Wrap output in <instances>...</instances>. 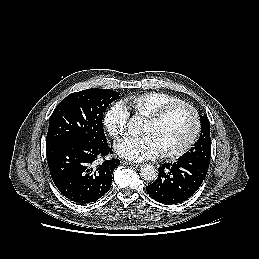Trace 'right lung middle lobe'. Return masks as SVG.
Here are the masks:
<instances>
[{
    "instance_id": "right-lung-middle-lobe-1",
    "label": "right lung middle lobe",
    "mask_w": 259,
    "mask_h": 259,
    "mask_svg": "<svg viewBox=\"0 0 259 259\" xmlns=\"http://www.w3.org/2000/svg\"><path fill=\"white\" fill-rule=\"evenodd\" d=\"M119 95L110 89L96 88L68 95L50 117L46 149L69 140L93 144L107 142L102 124L103 113Z\"/></svg>"
}]
</instances>
